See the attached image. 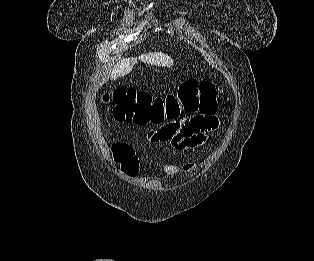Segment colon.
Here are the masks:
<instances>
[{"mask_svg":"<svg viewBox=\"0 0 314 261\" xmlns=\"http://www.w3.org/2000/svg\"><path fill=\"white\" fill-rule=\"evenodd\" d=\"M219 91L220 88L211 82L188 79L166 97L135 88H118L111 94H104L103 99L114 103L113 116L116 120L159 128L165 120H176L184 113L194 114V109H205V112L215 110ZM114 153L126 175L136 174L138 163L130 146L117 144Z\"/></svg>","mask_w":314,"mask_h":261,"instance_id":"colon-1","label":"colon"}]
</instances>
